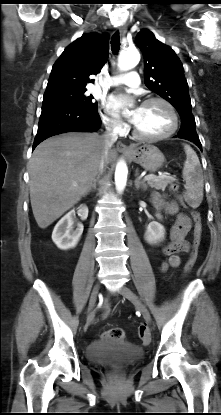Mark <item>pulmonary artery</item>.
Here are the masks:
<instances>
[{"mask_svg":"<svg viewBox=\"0 0 221 415\" xmlns=\"http://www.w3.org/2000/svg\"><path fill=\"white\" fill-rule=\"evenodd\" d=\"M140 84L139 75L132 71L124 75H118L111 77L107 82L106 86H118V85H126L132 88L138 87Z\"/></svg>","mask_w":221,"mask_h":415,"instance_id":"1","label":"pulmonary artery"}]
</instances>
